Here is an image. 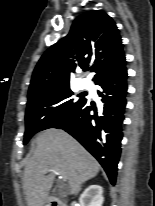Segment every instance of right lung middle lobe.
I'll return each instance as SVG.
<instances>
[{
	"label": "right lung middle lobe",
	"mask_w": 155,
	"mask_h": 206,
	"mask_svg": "<svg viewBox=\"0 0 155 206\" xmlns=\"http://www.w3.org/2000/svg\"><path fill=\"white\" fill-rule=\"evenodd\" d=\"M69 85H61L28 96L24 144L37 132L52 128L85 99H73Z\"/></svg>",
	"instance_id": "obj_1"
}]
</instances>
